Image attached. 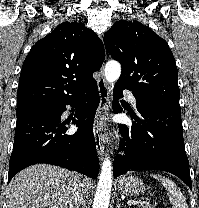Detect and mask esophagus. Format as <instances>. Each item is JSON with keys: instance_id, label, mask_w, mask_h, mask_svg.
Instances as JSON below:
<instances>
[{"instance_id": "1", "label": "esophagus", "mask_w": 199, "mask_h": 208, "mask_svg": "<svg viewBox=\"0 0 199 208\" xmlns=\"http://www.w3.org/2000/svg\"><path fill=\"white\" fill-rule=\"evenodd\" d=\"M104 66L100 69V76L97 79L98 91L100 96V103L96 112V117L94 121L93 134L95 138L96 150L99 156V159L102 161L104 159V145H103V118L104 112L108 107L109 102V86L103 75Z\"/></svg>"}]
</instances>
